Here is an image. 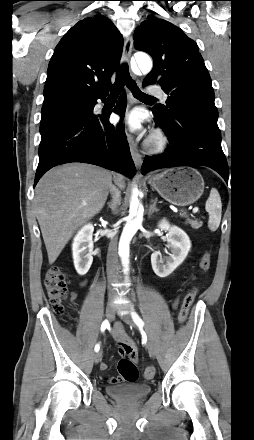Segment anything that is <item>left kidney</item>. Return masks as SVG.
<instances>
[{
	"label": "left kidney",
	"mask_w": 254,
	"mask_h": 440,
	"mask_svg": "<svg viewBox=\"0 0 254 440\" xmlns=\"http://www.w3.org/2000/svg\"><path fill=\"white\" fill-rule=\"evenodd\" d=\"M158 228L168 232L167 248L170 250V253L166 260H163L159 258V251L153 252L151 255V265L154 273L164 278L169 276L183 263L191 249V241L182 229L170 225L166 219L158 223Z\"/></svg>",
	"instance_id": "1"
}]
</instances>
